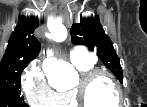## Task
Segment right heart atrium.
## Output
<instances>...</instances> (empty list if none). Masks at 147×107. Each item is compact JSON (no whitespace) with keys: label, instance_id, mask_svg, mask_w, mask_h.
Returning a JSON list of instances; mask_svg holds the SVG:
<instances>
[{"label":"right heart atrium","instance_id":"1","mask_svg":"<svg viewBox=\"0 0 147 107\" xmlns=\"http://www.w3.org/2000/svg\"><path fill=\"white\" fill-rule=\"evenodd\" d=\"M22 89L29 105L47 107L57 103V93L49 86L38 62H34L22 79Z\"/></svg>","mask_w":147,"mask_h":107}]
</instances>
